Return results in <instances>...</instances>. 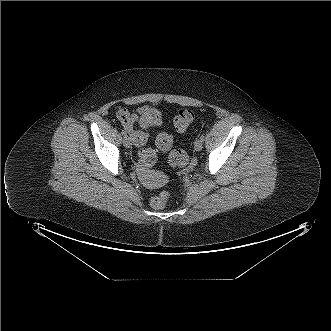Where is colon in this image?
Here are the masks:
<instances>
[{"mask_svg": "<svg viewBox=\"0 0 331 331\" xmlns=\"http://www.w3.org/2000/svg\"><path fill=\"white\" fill-rule=\"evenodd\" d=\"M194 119V114L189 109L179 110L174 118L173 125L176 130H186ZM162 117L160 112L155 108H148L141 114V126L143 128H156L161 124ZM143 134L145 132L141 131ZM156 145L161 152L169 153V161L172 167L183 169L189 163V156L186 152L180 149L173 148V138L168 133L162 132L157 135ZM170 196L168 192H160L151 199V206L155 209L164 208L169 202Z\"/></svg>", "mask_w": 331, "mask_h": 331, "instance_id": "colon-1", "label": "colon"}]
</instances>
